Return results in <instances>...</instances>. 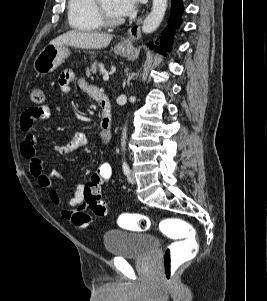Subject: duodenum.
<instances>
[{
    "mask_svg": "<svg viewBox=\"0 0 267 301\" xmlns=\"http://www.w3.org/2000/svg\"><path fill=\"white\" fill-rule=\"evenodd\" d=\"M94 99L101 109V128L109 137H111L112 115L110 100L107 95L101 92H97Z\"/></svg>",
    "mask_w": 267,
    "mask_h": 301,
    "instance_id": "410a0bca",
    "label": "duodenum"
}]
</instances>
